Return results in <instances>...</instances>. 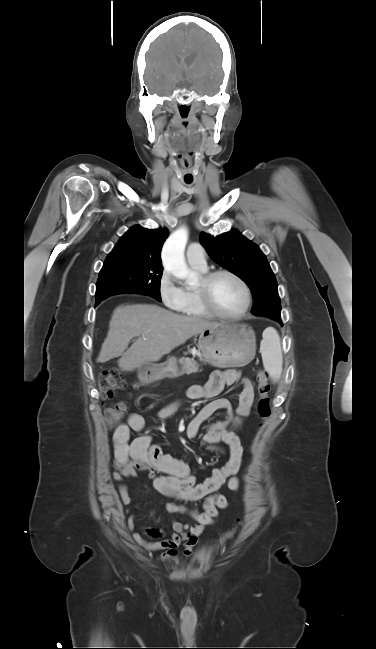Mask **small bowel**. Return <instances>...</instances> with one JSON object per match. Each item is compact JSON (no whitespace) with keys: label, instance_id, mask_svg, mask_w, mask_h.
I'll return each instance as SVG.
<instances>
[{"label":"small bowel","instance_id":"small-bowel-1","mask_svg":"<svg viewBox=\"0 0 376 649\" xmlns=\"http://www.w3.org/2000/svg\"><path fill=\"white\" fill-rule=\"evenodd\" d=\"M241 382L243 389L238 397V406L232 409L229 401L216 398L206 403L199 412L189 421L186 434L194 438L203 422L218 411L225 413V419L213 423L203 436V445L210 452L228 453V460L219 468L213 470L212 475L202 482H197L190 466L182 460L165 454L162 448L152 443L148 434H143L131 440V431L140 432L145 427V419L138 413L129 415L126 424H120L114 431L112 440L114 447L112 478L121 482L118 493L122 504L128 507L131 496L126 484V478L136 477L139 472L147 473L152 480V486L159 494L183 502H197L204 499L203 511L190 509L175 501L169 502L166 509L170 514H186L195 521V524L171 522L172 532L166 535L156 528H144L143 533L135 532V515L130 513L127 527L132 533V538L146 550H161L160 560H171L176 557L177 549L184 546V554L188 555L198 544V538L207 526L215 522L219 509L228 506V499L223 495H214L228 482L231 490H236L239 481L235 477L241 467L243 447L237 434L242 421L250 413L254 398L251 381L243 377L236 369L215 371L204 385H192L186 391V396L191 400L203 397L217 396L225 386ZM180 406L175 401L159 410L157 416L167 419L174 415ZM225 445L227 450L220 447ZM164 473V475H160ZM147 536L152 541H148Z\"/></svg>","mask_w":376,"mask_h":649}]
</instances>
